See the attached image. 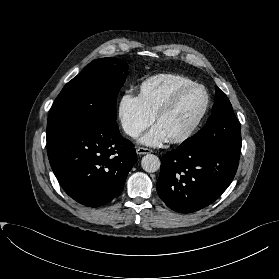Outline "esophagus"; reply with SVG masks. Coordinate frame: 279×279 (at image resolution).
Segmentation results:
<instances>
[{
    "label": "esophagus",
    "mask_w": 279,
    "mask_h": 279,
    "mask_svg": "<svg viewBox=\"0 0 279 279\" xmlns=\"http://www.w3.org/2000/svg\"><path fill=\"white\" fill-rule=\"evenodd\" d=\"M136 153L139 154V155H145V154L151 153V150L148 149V148L138 147L136 149Z\"/></svg>",
    "instance_id": "34e87169"
}]
</instances>
